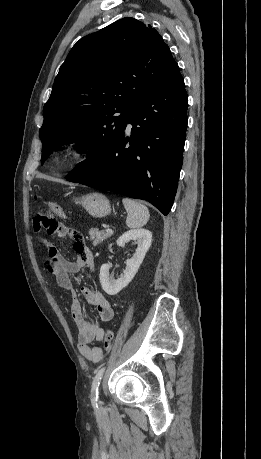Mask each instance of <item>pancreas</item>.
I'll return each mask as SVG.
<instances>
[{"label":"pancreas","mask_w":261,"mask_h":459,"mask_svg":"<svg viewBox=\"0 0 261 459\" xmlns=\"http://www.w3.org/2000/svg\"><path fill=\"white\" fill-rule=\"evenodd\" d=\"M90 240L93 241L94 245H98L103 242L105 239L112 236V233H108L104 230L99 231L97 228H91L89 230Z\"/></svg>","instance_id":"cf45deb5"}]
</instances>
